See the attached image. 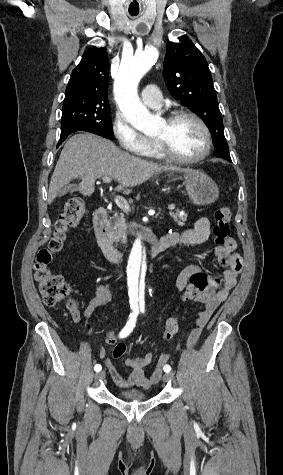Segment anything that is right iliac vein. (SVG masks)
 <instances>
[{
	"label": "right iliac vein",
	"mask_w": 283,
	"mask_h": 475,
	"mask_svg": "<svg viewBox=\"0 0 283 475\" xmlns=\"http://www.w3.org/2000/svg\"><path fill=\"white\" fill-rule=\"evenodd\" d=\"M105 377V371L101 370L99 373L96 374L97 379H103Z\"/></svg>",
	"instance_id": "obj_1"
}]
</instances>
